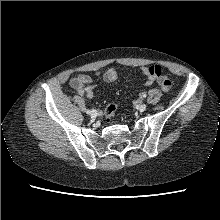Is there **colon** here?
Instances as JSON below:
<instances>
[{"label": "colon", "instance_id": "obj_1", "mask_svg": "<svg viewBox=\"0 0 220 220\" xmlns=\"http://www.w3.org/2000/svg\"><path fill=\"white\" fill-rule=\"evenodd\" d=\"M150 73L156 78V81L163 91H168L172 87L170 78L162 71L158 66H150ZM117 104L112 102L109 103L105 108V115L107 118H112L117 111Z\"/></svg>", "mask_w": 220, "mask_h": 220}]
</instances>
